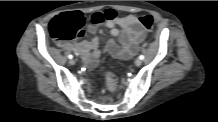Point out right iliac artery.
Segmentation results:
<instances>
[{"label": "right iliac artery", "instance_id": "right-iliac-artery-1", "mask_svg": "<svg viewBox=\"0 0 218 122\" xmlns=\"http://www.w3.org/2000/svg\"><path fill=\"white\" fill-rule=\"evenodd\" d=\"M68 58H69V59H72V58H73V56L70 54V55L68 56Z\"/></svg>", "mask_w": 218, "mask_h": 122}]
</instances>
